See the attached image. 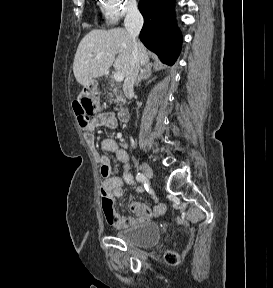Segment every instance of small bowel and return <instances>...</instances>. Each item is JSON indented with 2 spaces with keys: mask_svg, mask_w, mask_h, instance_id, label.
<instances>
[{
  "mask_svg": "<svg viewBox=\"0 0 273 288\" xmlns=\"http://www.w3.org/2000/svg\"><path fill=\"white\" fill-rule=\"evenodd\" d=\"M118 123L115 116L110 112H104L95 116L84 128L83 134L88 146L94 150V156L100 165V174L103 178L101 185V205L107 222L118 229L127 228L137 223L147 221L153 217L162 215L166 207L164 204L156 203L150 208L139 202H133L130 205L131 211L135 216L121 217L114 208V201L123 195L124 181L132 184V178L128 173L129 157L127 152L120 148L116 141L112 138H105L101 142V149L104 152L113 154L124 166L123 177L118 176L110 167V160L106 155H100L95 151L94 132L99 128L115 129ZM156 202V197L153 195Z\"/></svg>",
  "mask_w": 273,
  "mask_h": 288,
  "instance_id": "1",
  "label": "small bowel"
}]
</instances>
